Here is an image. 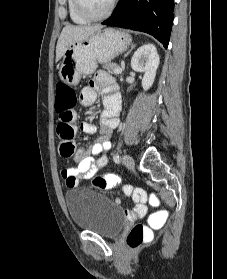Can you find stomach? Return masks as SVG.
<instances>
[{
  "label": "stomach",
  "mask_w": 227,
  "mask_h": 279,
  "mask_svg": "<svg viewBox=\"0 0 227 279\" xmlns=\"http://www.w3.org/2000/svg\"><path fill=\"white\" fill-rule=\"evenodd\" d=\"M131 43L129 34L107 28L83 41L69 45L59 68L60 79L68 85H77L82 75L92 74L98 63H108L125 52Z\"/></svg>",
  "instance_id": "0dacf381"
}]
</instances>
